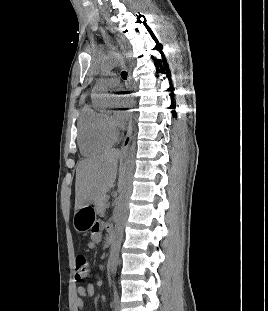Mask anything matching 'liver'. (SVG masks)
I'll list each match as a JSON object with an SVG mask.
<instances>
[{
    "label": "liver",
    "mask_w": 268,
    "mask_h": 311,
    "mask_svg": "<svg viewBox=\"0 0 268 311\" xmlns=\"http://www.w3.org/2000/svg\"><path fill=\"white\" fill-rule=\"evenodd\" d=\"M120 152L116 149L79 162L75 182V210L90 205L113 186Z\"/></svg>",
    "instance_id": "1"
}]
</instances>
